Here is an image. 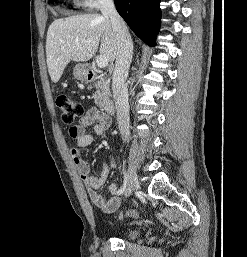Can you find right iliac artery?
I'll return each mask as SVG.
<instances>
[{
  "label": "right iliac artery",
  "instance_id": "82829eb1",
  "mask_svg": "<svg viewBox=\"0 0 247 257\" xmlns=\"http://www.w3.org/2000/svg\"><path fill=\"white\" fill-rule=\"evenodd\" d=\"M126 185H127V176L126 174L124 173V184L123 186L119 189L118 193L119 194H122L124 192V190L126 189Z\"/></svg>",
  "mask_w": 247,
  "mask_h": 257
}]
</instances>
